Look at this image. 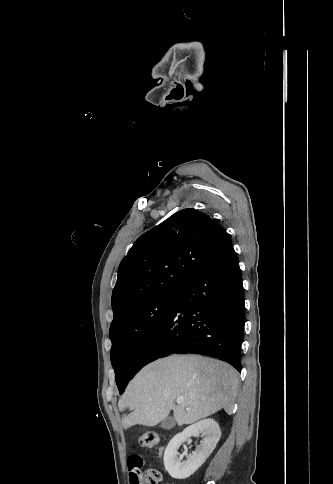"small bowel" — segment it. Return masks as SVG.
<instances>
[{
    "label": "small bowel",
    "instance_id": "1",
    "mask_svg": "<svg viewBox=\"0 0 333 484\" xmlns=\"http://www.w3.org/2000/svg\"><path fill=\"white\" fill-rule=\"evenodd\" d=\"M144 466L143 459L139 455H132L128 459L131 484H140L141 471Z\"/></svg>",
    "mask_w": 333,
    "mask_h": 484
}]
</instances>
